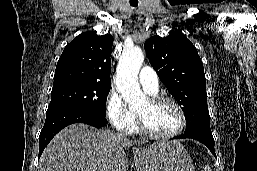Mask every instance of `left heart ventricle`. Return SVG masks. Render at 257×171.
I'll list each match as a JSON object with an SVG mask.
<instances>
[{
    "label": "left heart ventricle",
    "mask_w": 257,
    "mask_h": 171,
    "mask_svg": "<svg viewBox=\"0 0 257 171\" xmlns=\"http://www.w3.org/2000/svg\"><path fill=\"white\" fill-rule=\"evenodd\" d=\"M146 125L153 131L169 133L176 130L180 124V117L175 107L167 102L153 105L146 101L137 111Z\"/></svg>",
    "instance_id": "b2bd125f"
}]
</instances>
